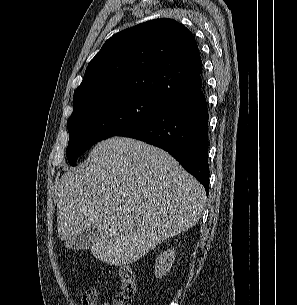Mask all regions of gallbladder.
Returning <instances> with one entry per match:
<instances>
[{"label":"gallbladder","instance_id":"bac80fb5","mask_svg":"<svg viewBox=\"0 0 297 305\" xmlns=\"http://www.w3.org/2000/svg\"><path fill=\"white\" fill-rule=\"evenodd\" d=\"M99 235L100 233L97 226L91 225L68 239V245L74 250H84L89 248L91 244L99 238Z\"/></svg>","mask_w":297,"mask_h":305}]
</instances>
